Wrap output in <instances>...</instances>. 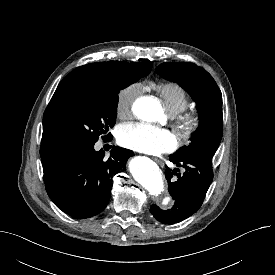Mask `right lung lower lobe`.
<instances>
[{"mask_svg":"<svg viewBox=\"0 0 275 275\" xmlns=\"http://www.w3.org/2000/svg\"><path fill=\"white\" fill-rule=\"evenodd\" d=\"M133 155L118 146L107 160L94 145L64 149L42 161L46 191L66 214L77 219L95 216L110 199L113 176L126 170L127 159Z\"/></svg>","mask_w":275,"mask_h":275,"instance_id":"98d812e1","label":"right lung lower lobe"}]
</instances>
